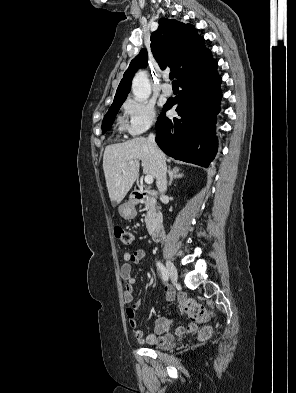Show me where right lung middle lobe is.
I'll return each instance as SVG.
<instances>
[{"instance_id":"right-lung-middle-lobe-1","label":"right lung middle lobe","mask_w":296,"mask_h":393,"mask_svg":"<svg viewBox=\"0 0 296 393\" xmlns=\"http://www.w3.org/2000/svg\"><path fill=\"white\" fill-rule=\"evenodd\" d=\"M124 101H125V99L113 101L111 107L109 108L108 112L106 113V115L103 119V123H102V133L103 134L112 125L113 120H114L119 108L121 107V105L123 104Z\"/></svg>"}]
</instances>
